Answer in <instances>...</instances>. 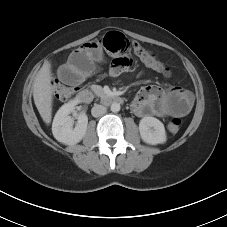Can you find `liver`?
<instances>
[{"label": "liver", "mask_w": 227, "mask_h": 227, "mask_svg": "<svg viewBox=\"0 0 227 227\" xmlns=\"http://www.w3.org/2000/svg\"><path fill=\"white\" fill-rule=\"evenodd\" d=\"M51 65L45 62L33 83V98L38 112L46 124L52 119L53 86L51 85Z\"/></svg>", "instance_id": "liver-1"}]
</instances>
